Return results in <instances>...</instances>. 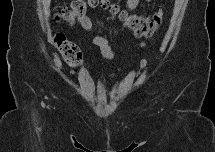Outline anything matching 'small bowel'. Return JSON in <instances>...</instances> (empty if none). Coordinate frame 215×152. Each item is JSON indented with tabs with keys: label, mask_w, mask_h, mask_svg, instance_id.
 Wrapping results in <instances>:
<instances>
[{
	"label": "small bowel",
	"mask_w": 215,
	"mask_h": 152,
	"mask_svg": "<svg viewBox=\"0 0 215 152\" xmlns=\"http://www.w3.org/2000/svg\"><path fill=\"white\" fill-rule=\"evenodd\" d=\"M139 5V0H129L128 7L131 11L137 9ZM78 24L87 32L93 33V24L91 19L88 16H81L78 18ZM92 43L94 46L98 47L101 55L107 60H113L115 58V51L111 47L107 38L103 36H94L92 39ZM141 47H144V44H140ZM148 63L146 60H142L140 63V67L142 69L147 68Z\"/></svg>",
	"instance_id": "obj_1"
}]
</instances>
